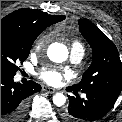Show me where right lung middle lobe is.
<instances>
[{
    "label": "right lung middle lobe",
    "instance_id": "obj_1",
    "mask_svg": "<svg viewBox=\"0 0 122 122\" xmlns=\"http://www.w3.org/2000/svg\"><path fill=\"white\" fill-rule=\"evenodd\" d=\"M37 36H27L20 31L1 30V72L15 75L16 65L24 62Z\"/></svg>",
    "mask_w": 122,
    "mask_h": 122
}]
</instances>
